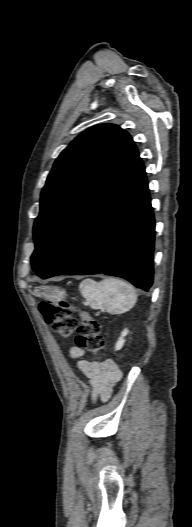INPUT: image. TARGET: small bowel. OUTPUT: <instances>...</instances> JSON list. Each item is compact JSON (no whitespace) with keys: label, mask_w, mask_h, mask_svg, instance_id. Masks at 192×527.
Listing matches in <instances>:
<instances>
[{"label":"small bowel","mask_w":192,"mask_h":527,"mask_svg":"<svg viewBox=\"0 0 192 527\" xmlns=\"http://www.w3.org/2000/svg\"><path fill=\"white\" fill-rule=\"evenodd\" d=\"M71 357L79 358L83 355V350L73 347L70 351ZM79 370L90 380L92 386V397L107 399L111 393L112 385L119 379L121 373L112 360H105L102 363L79 360L77 362Z\"/></svg>","instance_id":"c3829d8e"}]
</instances>
